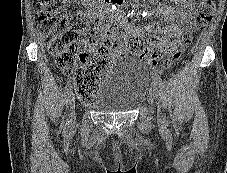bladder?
<instances>
[{
	"instance_id": "bladder-1",
	"label": "bladder",
	"mask_w": 227,
	"mask_h": 173,
	"mask_svg": "<svg viewBox=\"0 0 227 173\" xmlns=\"http://www.w3.org/2000/svg\"><path fill=\"white\" fill-rule=\"evenodd\" d=\"M147 90V68L135 58H124L106 72L91 107L103 113L131 112L143 103Z\"/></svg>"
}]
</instances>
